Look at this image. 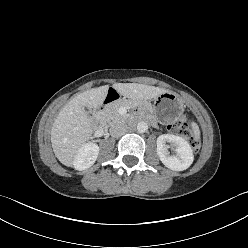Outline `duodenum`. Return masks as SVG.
<instances>
[{
  "label": "duodenum",
  "mask_w": 248,
  "mask_h": 248,
  "mask_svg": "<svg viewBox=\"0 0 248 248\" xmlns=\"http://www.w3.org/2000/svg\"><path fill=\"white\" fill-rule=\"evenodd\" d=\"M120 98V94L118 93V91L116 89H110L103 102L101 105V109L95 114L94 116V126L98 129V130H102L103 126H104V120H103V115H102V110L107 107L108 105L118 101Z\"/></svg>",
  "instance_id": "410a0bca"
}]
</instances>
